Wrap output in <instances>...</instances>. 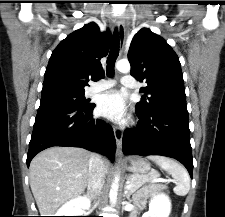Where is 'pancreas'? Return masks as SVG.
<instances>
[{
    "instance_id": "1",
    "label": "pancreas",
    "mask_w": 225,
    "mask_h": 217,
    "mask_svg": "<svg viewBox=\"0 0 225 217\" xmlns=\"http://www.w3.org/2000/svg\"><path fill=\"white\" fill-rule=\"evenodd\" d=\"M152 180V173L150 174H144V175H139V174H133L128 176V184H131L132 187L128 189V194L134 193L137 189H139L143 184L146 182H149ZM160 189H166L167 187L165 185H160Z\"/></svg>"
}]
</instances>
